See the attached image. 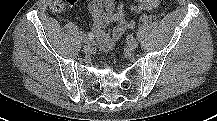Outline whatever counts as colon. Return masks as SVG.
<instances>
[{
	"instance_id": "1",
	"label": "colon",
	"mask_w": 217,
	"mask_h": 121,
	"mask_svg": "<svg viewBox=\"0 0 217 121\" xmlns=\"http://www.w3.org/2000/svg\"><path fill=\"white\" fill-rule=\"evenodd\" d=\"M74 2L75 0H53L51 2V9L54 12H62L66 10V8Z\"/></svg>"
}]
</instances>
